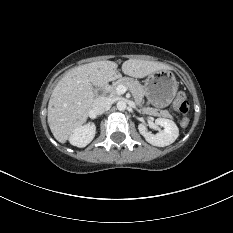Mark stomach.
Here are the masks:
<instances>
[{
	"mask_svg": "<svg viewBox=\"0 0 233 233\" xmlns=\"http://www.w3.org/2000/svg\"><path fill=\"white\" fill-rule=\"evenodd\" d=\"M144 90L150 103L163 108L168 106L175 98L178 91V82L171 71L161 70L148 75Z\"/></svg>",
	"mask_w": 233,
	"mask_h": 233,
	"instance_id": "obj_1",
	"label": "stomach"
}]
</instances>
